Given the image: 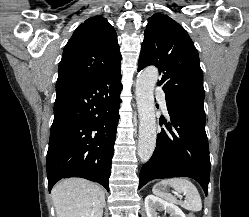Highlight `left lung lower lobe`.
Returning <instances> with one entry per match:
<instances>
[{"label": "left lung lower lobe", "instance_id": "0a47b994", "mask_svg": "<svg viewBox=\"0 0 249 217\" xmlns=\"http://www.w3.org/2000/svg\"><path fill=\"white\" fill-rule=\"evenodd\" d=\"M168 132L161 129L150 160L143 165L139 189L158 178L190 177L208 192L210 158L202 102L185 97L166 98ZM162 123V121H160Z\"/></svg>", "mask_w": 249, "mask_h": 217}]
</instances>
